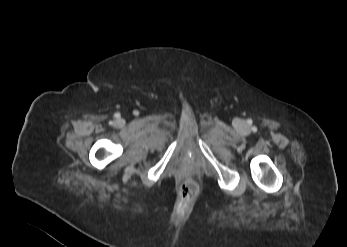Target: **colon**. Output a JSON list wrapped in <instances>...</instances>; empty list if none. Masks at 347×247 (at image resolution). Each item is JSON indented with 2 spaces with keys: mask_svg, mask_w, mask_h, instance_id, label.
<instances>
[{
  "mask_svg": "<svg viewBox=\"0 0 347 247\" xmlns=\"http://www.w3.org/2000/svg\"><path fill=\"white\" fill-rule=\"evenodd\" d=\"M182 189L188 196H194L198 191L194 178L187 177L183 182Z\"/></svg>",
  "mask_w": 347,
  "mask_h": 247,
  "instance_id": "colon-1",
  "label": "colon"
}]
</instances>
